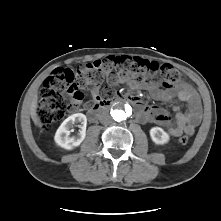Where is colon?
<instances>
[{
    "mask_svg": "<svg viewBox=\"0 0 221 221\" xmlns=\"http://www.w3.org/2000/svg\"><path fill=\"white\" fill-rule=\"evenodd\" d=\"M116 68L123 71L131 80L138 83H149L159 77L165 88H173L184 77V74L170 64L159 65L139 58L113 57L97 60L79 66L76 70L59 67L46 78L37 106V117L43 130H50L66 117L69 109H76L84 98V92L97 86L103 79L105 70ZM107 89L108 96L113 95ZM189 140L187 134L179 137L180 144Z\"/></svg>",
    "mask_w": 221,
    "mask_h": 221,
    "instance_id": "colon-1",
    "label": "colon"
}]
</instances>
